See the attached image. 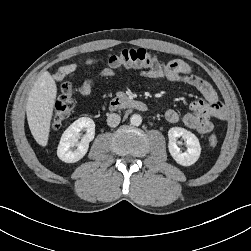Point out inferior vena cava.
I'll list each match as a JSON object with an SVG mask.
<instances>
[{
	"instance_id": "inferior-vena-cava-1",
	"label": "inferior vena cava",
	"mask_w": 251,
	"mask_h": 251,
	"mask_svg": "<svg viewBox=\"0 0 251 251\" xmlns=\"http://www.w3.org/2000/svg\"><path fill=\"white\" fill-rule=\"evenodd\" d=\"M121 117L116 113H111L107 117V124L110 127H117L120 123Z\"/></svg>"
}]
</instances>
